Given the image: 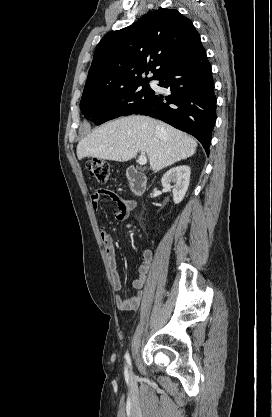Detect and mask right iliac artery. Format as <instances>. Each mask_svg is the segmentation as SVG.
<instances>
[{
  "mask_svg": "<svg viewBox=\"0 0 272 417\" xmlns=\"http://www.w3.org/2000/svg\"><path fill=\"white\" fill-rule=\"evenodd\" d=\"M125 360L127 361L128 364L131 363L130 356H129L128 352H126V354H125ZM125 373L127 374V369H125Z\"/></svg>",
  "mask_w": 272,
  "mask_h": 417,
  "instance_id": "1",
  "label": "right iliac artery"
}]
</instances>
